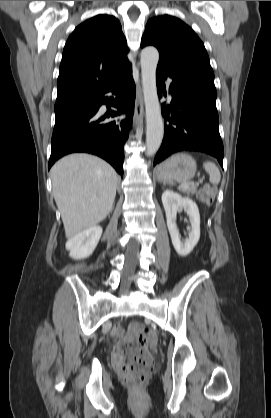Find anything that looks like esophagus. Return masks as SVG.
Segmentation results:
<instances>
[{"mask_svg": "<svg viewBox=\"0 0 271 418\" xmlns=\"http://www.w3.org/2000/svg\"><path fill=\"white\" fill-rule=\"evenodd\" d=\"M144 116V103H143V98H142V93H141V86L140 84H138L137 87V97H136V102H135V111H134V123L136 125H139L140 120L143 118Z\"/></svg>", "mask_w": 271, "mask_h": 418, "instance_id": "esophagus-1", "label": "esophagus"}]
</instances>
